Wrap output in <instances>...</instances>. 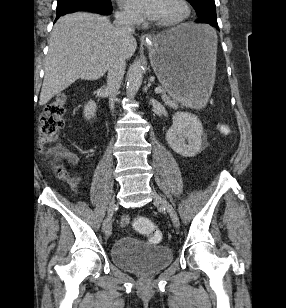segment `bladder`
<instances>
[{"mask_svg": "<svg viewBox=\"0 0 286 308\" xmlns=\"http://www.w3.org/2000/svg\"><path fill=\"white\" fill-rule=\"evenodd\" d=\"M111 259L119 267L137 273L163 269L173 258L170 248L146 244L134 238H120L111 246Z\"/></svg>", "mask_w": 286, "mask_h": 308, "instance_id": "1", "label": "bladder"}]
</instances>
